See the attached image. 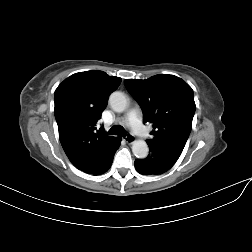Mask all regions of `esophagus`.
<instances>
[{
    "instance_id": "obj_1",
    "label": "esophagus",
    "mask_w": 252,
    "mask_h": 252,
    "mask_svg": "<svg viewBox=\"0 0 252 252\" xmlns=\"http://www.w3.org/2000/svg\"><path fill=\"white\" fill-rule=\"evenodd\" d=\"M124 140L129 143L132 144L135 141V137L133 135H127L124 137Z\"/></svg>"
}]
</instances>
